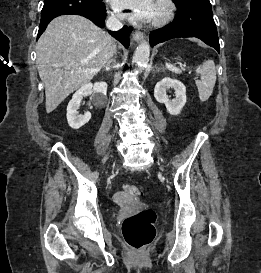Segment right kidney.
I'll use <instances>...</instances> for the list:
<instances>
[{
	"instance_id": "ca27d5eb",
	"label": "right kidney",
	"mask_w": 261,
	"mask_h": 273,
	"mask_svg": "<svg viewBox=\"0 0 261 273\" xmlns=\"http://www.w3.org/2000/svg\"><path fill=\"white\" fill-rule=\"evenodd\" d=\"M91 93H95V101L105 100L107 94V83H87L74 93L67 106V120L71 128L79 129L91 119L90 112H85L84 115H78L77 112L83 97L88 96Z\"/></svg>"
}]
</instances>
